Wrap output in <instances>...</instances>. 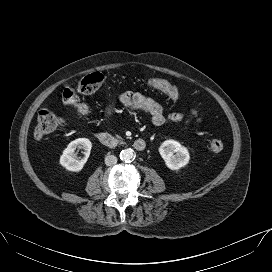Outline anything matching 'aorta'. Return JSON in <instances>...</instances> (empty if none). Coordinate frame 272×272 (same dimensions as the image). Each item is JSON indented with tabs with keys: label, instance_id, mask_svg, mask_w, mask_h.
<instances>
[{
	"label": "aorta",
	"instance_id": "obj_1",
	"mask_svg": "<svg viewBox=\"0 0 272 272\" xmlns=\"http://www.w3.org/2000/svg\"><path fill=\"white\" fill-rule=\"evenodd\" d=\"M134 151L131 148L124 149L120 152V159L126 163L134 159Z\"/></svg>",
	"mask_w": 272,
	"mask_h": 272
}]
</instances>
